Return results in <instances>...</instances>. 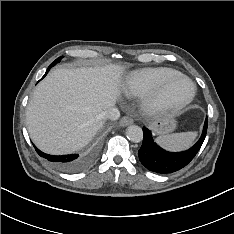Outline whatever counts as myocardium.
I'll list each match as a JSON object with an SVG mask.
<instances>
[{"mask_svg":"<svg viewBox=\"0 0 234 234\" xmlns=\"http://www.w3.org/2000/svg\"><path fill=\"white\" fill-rule=\"evenodd\" d=\"M179 80L189 83L190 92L183 98H171L167 92L169 88ZM196 94L195 84L186 76L178 74L158 86L151 93L147 94L144 100V110L149 114H157L165 111H177L192 102Z\"/></svg>","mask_w":234,"mask_h":234,"instance_id":"obj_1","label":"myocardium"}]
</instances>
